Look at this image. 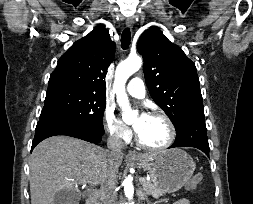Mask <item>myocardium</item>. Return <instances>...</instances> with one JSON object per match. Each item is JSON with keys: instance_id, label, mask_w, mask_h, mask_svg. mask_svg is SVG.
Wrapping results in <instances>:
<instances>
[{"instance_id": "obj_1", "label": "myocardium", "mask_w": 253, "mask_h": 204, "mask_svg": "<svg viewBox=\"0 0 253 204\" xmlns=\"http://www.w3.org/2000/svg\"><path fill=\"white\" fill-rule=\"evenodd\" d=\"M148 116L161 118L166 123V125L168 127L169 137L164 144H162L160 146H151V145L144 143L136 131L135 140H136L137 144L141 148L148 150V151H162V150L169 148L174 143L175 138H176V129H175L173 122L166 114L161 113V112H151L150 114H148Z\"/></svg>"}]
</instances>
